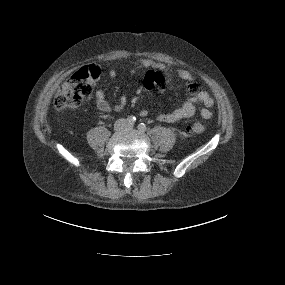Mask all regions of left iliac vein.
<instances>
[{
	"label": "left iliac vein",
	"mask_w": 285,
	"mask_h": 285,
	"mask_svg": "<svg viewBox=\"0 0 285 285\" xmlns=\"http://www.w3.org/2000/svg\"><path fill=\"white\" fill-rule=\"evenodd\" d=\"M126 128H127V129H132V128H133V125L127 124Z\"/></svg>",
	"instance_id": "4c4485c4"
}]
</instances>
